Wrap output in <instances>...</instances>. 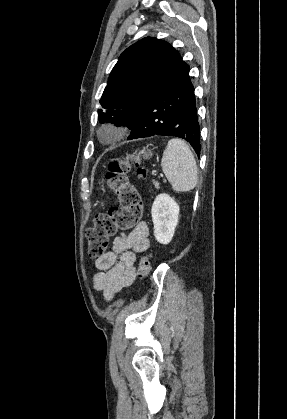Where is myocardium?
<instances>
[{
  "label": "myocardium",
  "mask_w": 287,
  "mask_h": 419,
  "mask_svg": "<svg viewBox=\"0 0 287 419\" xmlns=\"http://www.w3.org/2000/svg\"><path fill=\"white\" fill-rule=\"evenodd\" d=\"M124 135V130L108 126L102 132V139L105 141H116Z\"/></svg>",
  "instance_id": "f54148a6"
}]
</instances>
